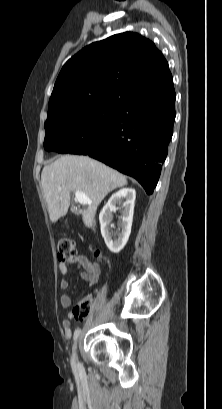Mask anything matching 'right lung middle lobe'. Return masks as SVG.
<instances>
[{"mask_svg":"<svg viewBox=\"0 0 222 409\" xmlns=\"http://www.w3.org/2000/svg\"><path fill=\"white\" fill-rule=\"evenodd\" d=\"M118 103L69 105L48 113L44 148L47 151L86 155L104 142Z\"/></svg>","mask_w":222,"mask_h":409,"instance_id":"dd1d6c3e","label":"right lung middle lobe"}]
</instances>
